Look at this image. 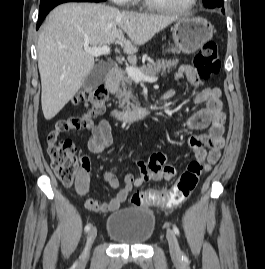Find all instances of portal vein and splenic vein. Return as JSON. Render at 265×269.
<instances>
[{"label": "portal vein and splenic vein", "instance_id": "obj_1", "mask_svg": "<svg viewBox=\"0 0 265 269\" xmlns=\"http://www.w3.org/2000/svg\"><path fill=\"white\" fill-rule=\"evenodd\" d=\"M84 50L95 56V57H99L102 55H109L110 54V47L108 45H103L101 47H89V46H85ZM126 72L127 74L136 82H149V83H154L157 81V77H148L145 76L140 69L134 67V66H130V67H126Z\"/></svg>", "mask_w": 265, "mask_h": 269}]
</instances>
